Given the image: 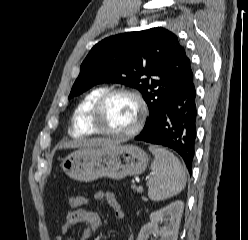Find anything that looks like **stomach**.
<instances>
[{
	"label": "stomach",
	"mask_w": 248,
	"mask_h": 240,
	"mask_svg": "<svg viewBox=\"0 0 248 240\" xmlns=\"http://www.w3.org/2000/svg\"><path fill=\"white\" fill-rule=\"evenodd\" d=\"M148 156L135 145L114 144L77 150L62 160L63 171L72 179L91 182L107 177L115 180L143 173Z\"/></svg>",
	"instance_id": "obj_1"
}]
</instances>
